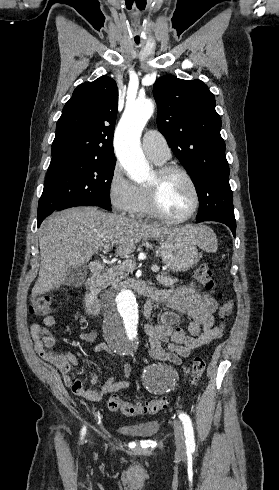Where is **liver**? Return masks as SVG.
Returning a JSON list of instances; mask_svg holds the SVG:
<instances>
[{
    "mask_svg": "<svg viewBox=\"0 0 279 490\" xmlns=\"http://www.w3.org/2000/svg\"><path fill=\"white\" fill-rule=\"evenodd\" d=\"M202 228L204 226H154L125 216L106 214L98 208L54 212L44 220L38 232L41 262L31 296L36 298L60 288L71 266H85L111 240L117 246L118 256H128L135 252L140 240H163L172 232L192 238L199 246Z\"/></svg>",
    "mask_w": 279,
    "mask_h": 490,
    "instance_id": "liver-1",
    "label": "liver"
}]
</instances>
